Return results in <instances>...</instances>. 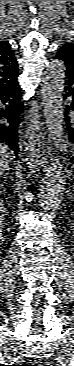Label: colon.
<instances>
[{"mask_svg":"<svg viewBox=\"0 0 74 366\" xmlns=\"http://www.w3.org/2000/svg\"><path fill=\"white\" fill-rule=\"evenodd\" d=\"M27 366H34V365H27ZM39 366H45V365H39Z\"/></svg>","mask_w":74,"mask_h":366,"instance_id":"colon-1","label":"colon"}]
</instances>
